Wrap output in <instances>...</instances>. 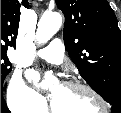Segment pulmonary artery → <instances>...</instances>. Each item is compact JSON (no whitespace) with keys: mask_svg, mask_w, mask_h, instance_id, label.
Wrapping results in <instances>:
<instances>
[{"mask_svg":"<svg viewBox=\"0 0 121 113\" xmlns=\"http://www.w3.org/2000/svg\"><path fill=\"white\" fill-rule=\"evenodd\" d=\"M35 55L54 65H60L64 59V47L60 39H54L50 44L35 52Z\"/></svg>","mask_w":121,"mask_h":113,"instance_id":"pulmonary-artery-1","label":"pulmonary artery"}]
</instances>
